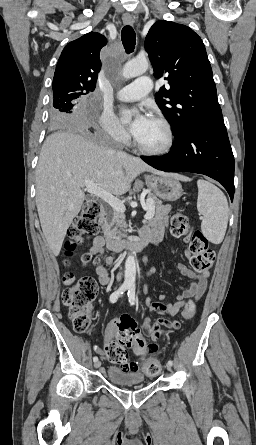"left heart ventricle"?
Returning <instances> with one entry per match:
<instances>
[{
  "mask_svg": "<svg viewBox=\"0 0 256 445\" xmlns=\"http://www.w3.org/2000/svg\"><path fill=\"white\" fill-rule=\"evenodd\" d=\"M139 144L146 148H159L166 142L164 128L156 121L150 119L142 132L135 137Z\"/></svg>",
  "mask_w": 256,
  "mask_h": 445,
  "instance_id": "obj_1",
  "label": "left heart ventricle"
}]
</instances>
